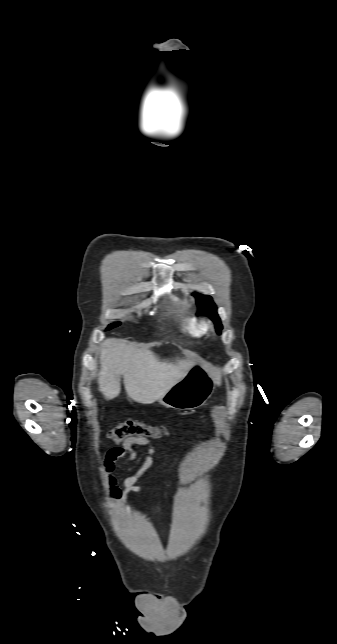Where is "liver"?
I'll list each match as a JSON object with an SVG mask.
<instances>
[{"label": "liver", "mask_w": 337, "mask_h": 644, "mask_svg": "<svg viewBox=\"0 0 337 644\" xmlns=\"http://www.w3.org/2000/svg\"><path fill=\"white\" fill-rule=\"evenodd\" d=\"M99 354L98 384L104 397L111 400L120 394L123 376L127 396L141 404L159 400L193 365L187 359L161 361L151 350L139 349L133 343L115 338L102 342Z\"/></svg>", "instance_id": "obj_1"}]
</instances>
